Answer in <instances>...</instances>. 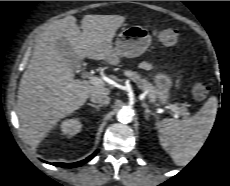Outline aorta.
Instances as JSON below:
<instances>
[{"mask_svg":"<svg viewBox=\"0 0 230 186\" xmlns=\"http://www.w3.org/2000/svg\"><path fill=\"white\" fill-rule=\"evenodd\" d=\"M133 111L130 108L123 107L117 113V119L119 122L127 124L133 120Z\"/></svg>","mask_w":230,"mask_h":186,"instance_id":"aorta-1","label":"aorta"}]
</instances>
